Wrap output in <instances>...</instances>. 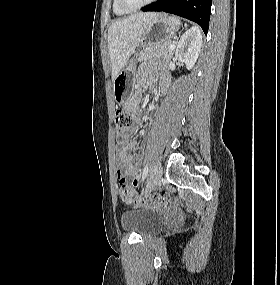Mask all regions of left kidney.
<instances>
[{
    "mask_svg": "<svg viewBox=\"0 0 280 285\" xmlns=\"http://www.w3.org/2000/svg\"><path fill=\"white\" fill-rule=\"evenodd\" d=\"M202 46V34L198 27L193 26L180 38L175 51V57L192 69L198 59Z\"/></svg>",
    "mask_w": 280,
    "mask_h": 285,
    "instance_id": "left-kidney-1",
    "label": "left kidney"
}]
</instances>
